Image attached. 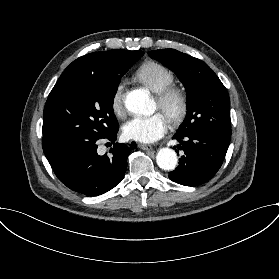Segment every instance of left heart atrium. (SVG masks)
Segmentation results:
<instances>
[{"mask_svg":"<svg viewBox=\"0 0 279 279\" xmlns=\"http://www.w3.org/2000/svg\"><path fill=\"white\" fill-rule=\"evenodd\" d=\"M167 120L162 112L148 117H134L122 127V133L128 140L140 143H154L167 131Z\"/></svg>","mask_w":279,"mask_h":279,"instance_id":"1","label":"left heart atrium"}]
</instances>
